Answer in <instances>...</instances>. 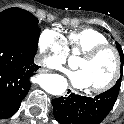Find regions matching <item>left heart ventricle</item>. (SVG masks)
<instances>
[{
    "instance_id": "1",
    "label": "left heart ventricle",
    "mask_w": 124,
    "mask_h": 124,
    "mask_svg": "<svg viewBox=\"0 0 124 124\" xmlns=\"http://www.w3.org/2000/svg\"><path fill=\"white\" fill-rule=\"evenodd\" d=\"M86 74L89 87L104 85L113 75L115 57L112 51L107 50L90 60L80 59L76 66Z\"/></svg>"
}]
</instances>
